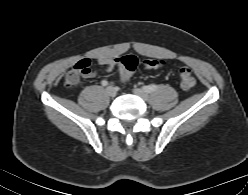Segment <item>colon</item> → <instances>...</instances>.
<instances>
[{
	"label": "colon",
	"instance_id": "obj_1",
	"mask_svg": "<svg viewBox=\"0 0 248 195\" xmlns=\"http://www.w3.org/2000/svg\"><path fill=\"white\" fill-rule=\"evenodd\" d=\"M138 58L133 55H126L121 57V65L125 71L126 79L128 80L132 73L138 66ZM91 62L88 60L79 61L67 74L65 84L67 87H76L81 79V76L89 71ZM143 65L149 69H156L163 67L165 62L160 59H146L143 61ZM180 86L185 89H191L195 83V77L191 69L188 67H181L179 70Z\"/></svg>",
	"mask_w": 248,
	"mask_h": 195
}]
</instances>
